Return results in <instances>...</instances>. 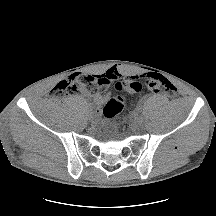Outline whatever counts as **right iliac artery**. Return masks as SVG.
Wrapping results in <instances>:
<instances>
[{"mask_svg": "<svg viewBox=\"0 0 216 216\" xmlns=\"http://www.w3.org/2000/svg\"><path fill=\"white\" fill-rule=\"evenodd\" d=\"M86 114L90 116L92 113L86 108Z\"/></svg>", "mask_w": 216, "mask_h": 216, "instance_id": "right-iliac-artery-1", "label": "right iliac artery"}]
</instances>
